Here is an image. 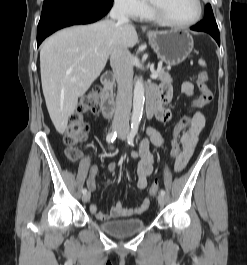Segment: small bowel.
Listing matches in <instances>:
<instances>
[{"label":"small bowel","mask_w":247,"mask_h":265,"mask_svg":"<svg viewBox=\"0 0 247 265\" xmlns=\"http://www.w3.org/2000/svg\"><path fill=\"white\" fill-rule=\"evenodd\" d=\"M156 93L154 115L156 119L163 123L171 121L173 114L172 111L167 107L173 97V88L168 83H163L158 87H152ZM180 91L183 95L189 99L193 98L194 85L191 82H184L181 85ZM206 118L204 113L197 112L191 119L190 126L187 132L181 136V147L178 159L175 163V169L181 171L189 159L191 158L195 146L197 144L200 133L205 126ZM165 140L162 135L154 130L148 129L146 137L142 140L137 151L132 153L133 159H138L136 166V186L145 190L148 187V178L152 175L154 170V158L149 150L150 144L157 147L164 146ZM110 172L117 170V165L111 163L108 166ZM98 173V168L92 165L90 168V176L88 179V187L90 189L95 188V179ZM150 206V200L145 198L141 204L135 208H125L119 201L115 202L108 211H100L96 204L90 205V212L99 221H107L114 218L131 217L137 214H141L146 211Z\"/></svg>","instance_id":"small-bowel-1"}]
</instances>
